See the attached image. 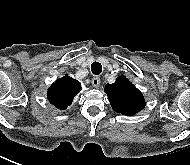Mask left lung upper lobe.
<instances>
[{"instance_id": "obj_1", "label": "left lung upper lobe", "mask_w": 190, "mask_h": 165, "mask_svg": "<svg viewBox=\"0 0 190 165\" xmlns=\"http://www.w3.org/2000/svg\"><path fill=\"white\" fill-rule=\"evenodd\" d=\"M112 109L123 115H134L145 107L143 94L124 76L105 86Z\"/></svg>"}]
</instances>
